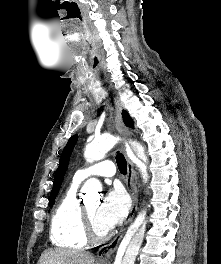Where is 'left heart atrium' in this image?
<instances>
[{
    "mask_svg": "<svg viewBox=\"0 0 221 264\" xmlns=\"http://www.w3.org/2000/svg\"><path fill=\"white\" fill-rule=\"evenodd\" d=\"M129 201L123 190L115 188L103 199L97 209V219L110 230L120 223L127 215Z\"/></svg>",
    "mask_w": 221,
    "mask_h": 264,
    "instance_id": "1",
    "label": "left heart atrium"
}]
</instances>
